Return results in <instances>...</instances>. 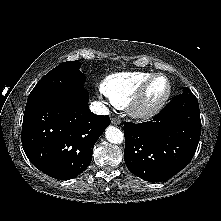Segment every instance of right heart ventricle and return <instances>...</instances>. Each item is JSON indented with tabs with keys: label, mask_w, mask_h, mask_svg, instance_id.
Returning <instances> with one entry per match:
<instances>
[{
	"label": "right heart ventricle",
	"mask_w": 221,
	"mask_h": 221,
	"mask_svg": "<svg viewBox=\"0 0 221 221\" xmlns=\"http://www.w3.org/2000/svg\"><path fill=\"white\" fill-rule=\"evenodd\" d=\"M153 73L145 71H126L106 76L101 84V92L118 107H126L142 83Z\"/></svg>",
	"instance_id": "1"
}]
</instances>
